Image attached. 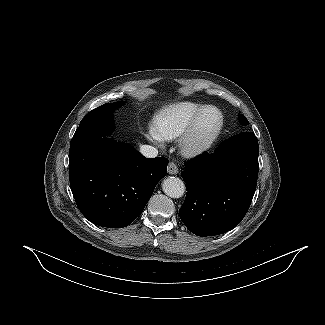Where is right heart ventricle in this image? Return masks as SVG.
Listing matches in <instances>:
<instances>
[{
  "instance_id": "1",
  "label": "right heart ventricle",
  "mask_w": 325,
  "mask_h": 325,
  "mask_svg": "<svg viewBox=\"0 0 325 325\" xmlns=\"http://www.w3.org/2000/svg\"><path fill=\"white\" fill-rule=\"evenodd\" d=\"M208 105L182 101L164 108L154 119L153 130L162 139L172 140L180 136L198 112Z\"/></svg>"
}]
</instances>
